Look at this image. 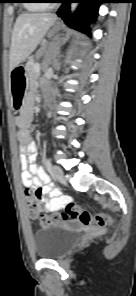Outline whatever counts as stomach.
I'll return each instance as SVG.
<instances>
[{"label":"stomach","instance_id":"0dacf381","mask_svg":"<svg viewBox=\"0 0 136 296\" xmlns=\"http://www.w3.org/2000/svg\"><path fill=\"white\" fill-rule=\"evenodd\" d=\"M59 26L56 25L55 29ZM27 69H23L18 65L12 69V84H27ZM13 90V111H22L24 101H28L29 97L25 96V90H29V85H11Z\"/></svg>","mask_w":136,"mask_h":296}]
</instances>
